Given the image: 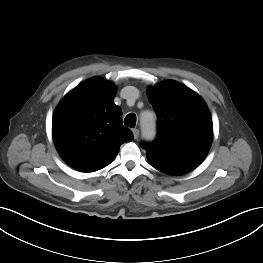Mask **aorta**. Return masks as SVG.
Instances as JSON below:
<instances>
[{"mask_svg":"<svg viewBox=\"0 0 263 263\" xmlns=\"http://www.w3.org/2000/svg\"><path fill=\"white\" fill-rule=\"evenodd\" d=\"M142 137L145 140H152L156 135L155 116L151 112H143L140 117Z\"/></svg>","mask_w":263,"mask_h":263,"instance_id":"obj_1","label":"aorta"}]
</instances>
